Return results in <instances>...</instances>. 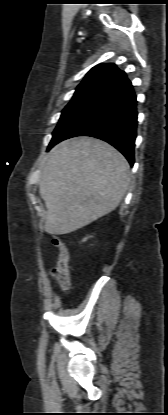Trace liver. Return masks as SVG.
<instances>
[{"mask_svg":"<svg viewBox=\"0 0 168 415\" xmlns=\"http://www.w3.org/2000/svg\"><path fill=\"white\" fill-rule=\"evenodd\" d=\"M130 176L125 157L104 141L78 137L56 145L39 183L46 232L68 234L115 210Z\"/></svg>","mask_w":168,"mask_h":415,"instance_id":"obj_1","label":"liver"}]
</instances>
